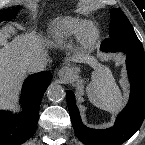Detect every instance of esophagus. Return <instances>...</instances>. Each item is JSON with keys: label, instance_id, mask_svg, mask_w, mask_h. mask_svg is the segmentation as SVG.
Listing matches in <instances>:
<instances>
[{"label": "esophagus", "instance_id": "1", "mask_svg": "<svg viewBox=\"0 0 145 145\" xmlns=\"http://www.w3.org/2000/svg\"><path fill=\"white\" fill-rule=\"evenodd\" d=\"M71 72L67 67H63L58 72V77L62 83H65L69 80Z\"/></svg>", "mask_w": 145, "mask_h": 145}]
</instances>
